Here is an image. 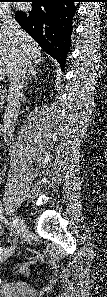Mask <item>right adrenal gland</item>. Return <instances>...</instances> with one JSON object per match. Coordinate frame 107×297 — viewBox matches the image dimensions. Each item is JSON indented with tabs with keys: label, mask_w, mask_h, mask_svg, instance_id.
<instances>
[{
	"label": "right adrenal gland",
	"mask_w": 107,
	"mask_h": 297,
	"mask_svg": "<svg viewBox=\"0 0 107 297\" xmlns=\"http://www.w3.org/2000/svg\"><path fill=\"white\" fill-rule=\"evenodd\" d=\"M37 65H31L29 70H28V73H27V76H26V82H25V86L28 85V82H29V79L31 78V76L33 77H36V74L38 73V69H36Z\"/></svg>",
	"instance_id": "obj_1"
}]
</instances>
